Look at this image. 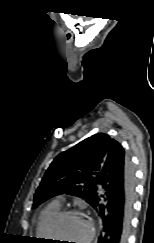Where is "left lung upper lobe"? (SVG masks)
<instances>
[{
  "mask_svg": "<svg viewBox=\"0 0 154 243\" xmlns=\"http://www.w3.org/2000/svg\"><path fill=\"white\" fill-rule=\"evenodd\" d=\"M119 147L117 141L99 133L59 154L42 178L34 195L33 208L63 193L80 197L92 206L99 194L98 175L109 152Z\"/></svg>",
  "mask_w": 154,
  "mask_h": 243,
  "instance_id": "1",
  "label": "left lung upper lobe"
}]
</instances>
